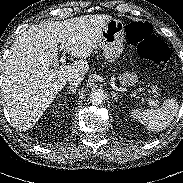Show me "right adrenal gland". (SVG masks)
<instances>
[{"instance_id": "right-adrenal-gland-1", "label": "right adrenal gland", "mask_w": 183, "mask_h": 183, "mask_svg": "<svg viewBox=\"0 0 183 183\" xmlns=\"http://www.w3.org/2000/svg\"><path fill=\"white\" fill-rule=\"evenodd\" d=\"M68 89H69V90H68V93H72V94H73V93L76 92L77 87H76V86H69Z\"/></svg>"}]
</instances>
